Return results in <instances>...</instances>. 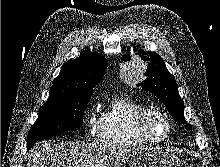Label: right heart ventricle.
Segmentation results:
<instances>
[{"label": "right heart ventricle", "mask_w": 220, "mask_h": 167, "mask_svg": "<svg viewBox=\"0 0 220 167\" xmlns=\"http://www.w3.org/2000/svg\"><path fill=\"white\" fill-rule=\"evenodd\" d=\"M147 109V105L127 94L116 95L102 114L99 137L118 145L146 143L139 131L138 122Z\"/></svg>", "instance_id": "e07e8e85"}]
</instances>
